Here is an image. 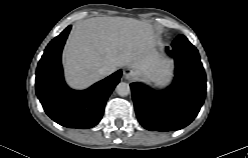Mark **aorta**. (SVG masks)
<instances>
[{"instance_id":"aorta-1","label":"aorta","mask_w":248,"mask_h":158,"mask_svg":"<svg viewBox=\"0 0 248 158\" xmlns=\"http://www.w3.org/2000/svg\"><path fill=\"white\" fill-rule=\"evenodd\" d=\"M116 92L120 96H127L131 92L129 84L128 83H125V82H120L116 86Z\"/></svg>"}]
</instances>
